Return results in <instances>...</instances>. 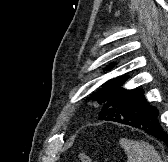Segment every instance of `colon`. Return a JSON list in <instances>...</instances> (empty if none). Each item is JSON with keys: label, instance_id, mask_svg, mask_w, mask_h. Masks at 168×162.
Here are the masks:
<instances>
[{"label": "colon", "instance_id": "1", "mask_svg": "<svg viewBox=\"0 0 168 162\" xmlns=\"http://www.w3.org/2000/svg\"><path fill=\"white\" fill-rule=\"evenodd\" d=\"M78 162H92V159L87 154L80 153L78 155Z\"/></svg>", "mask_w": 168, "mask_h": 162}]
</instances>
